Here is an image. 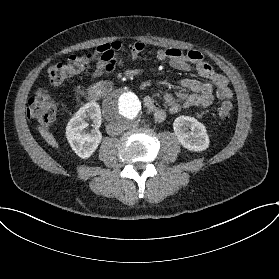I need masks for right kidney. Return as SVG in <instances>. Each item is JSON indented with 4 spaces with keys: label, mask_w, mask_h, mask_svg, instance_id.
I'll list each match as a JSON object with an SVG mask.
<instances>
[{
    "label": "right kidney",
    "mask_w": 279,
    "mask_h": 279,
    "mask_svg": "<svg viewBox=\"0 0 279 279\" xmlns=\"http://www.w3.org/2000/svg\"><path fill=\"white\" fill-rule=\"evenodd\" d=\"M86 118H90L93 127L90 132ZM102 123L101 109L98 103L91 101L84 104L69 120L66 126V137L72 150L81 158H89L97 149L102 139L99 127Z\"/></svg>",
    "instance_id": "ca27d5eb"
}]
</instances>
